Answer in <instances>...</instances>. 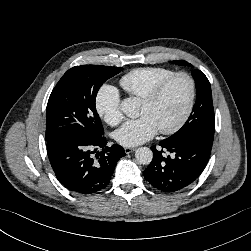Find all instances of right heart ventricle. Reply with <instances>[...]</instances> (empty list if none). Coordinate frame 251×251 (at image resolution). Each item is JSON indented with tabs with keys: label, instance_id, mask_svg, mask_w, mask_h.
<instances>
[{
	"label": "right heart ventricle",
	"instance_id": "e07e8e85",
	"mask_svg": "<svg viewBox=\"0 0 251 251\" xmlns=\"http://www.w3.org/2000/svg\"><path fill=\"white\" fill-rule=\"evenodd\" d=\"M173 73V70L164 67L137 68L125 74L120 79V85L130 95L142 99Z\"/></svg>",
	"mask_w": 251,
	"mask_h": 251
}]
</instances>
